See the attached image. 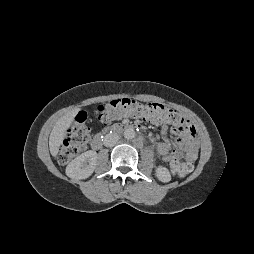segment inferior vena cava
<instances>
[{"instance_id":"obj_1","label":"inferior vena cava","mask_w":254,"mask_h":254,"mask_svg":"<svg viewBox=\"0 0 254 254\" xmlns=\"http://www.w3.org/2000/svg\"><path fill=\"white\" fill-rule=\"evenodd\" d=\"M118 139L119 136L116 133H110L105 136L103 144L106 147H112L117 143Z\"/></svg>"}]
</instances>
